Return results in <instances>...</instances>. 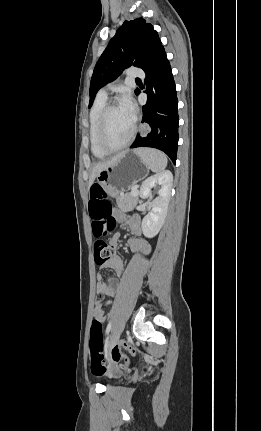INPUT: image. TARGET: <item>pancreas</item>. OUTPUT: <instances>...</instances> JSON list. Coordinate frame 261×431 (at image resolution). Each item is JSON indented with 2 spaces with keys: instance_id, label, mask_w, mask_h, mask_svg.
<instances>
[{
  "instance_id": "cf45deb5",
  "label": "pancreas",
  "mask_w": 261,
  "mask_h": 431,
  "mask_svg": "<svg viewBox=\"0 0 261 431\" xmlns=\"http://www.w3.org/2000/svg\"><path fill=\"white\" fill-rule=\"evenodd\" d=\"M116 203L121 211H130L138 203V194L135 196H132L131 193L117 195Z\"/></svg>"
}]
</instances>
